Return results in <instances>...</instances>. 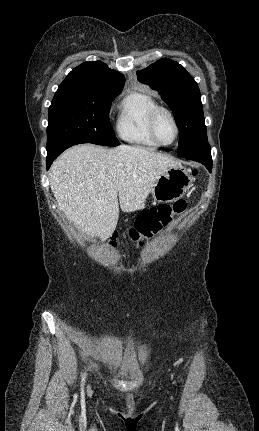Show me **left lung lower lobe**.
<instances>
[{
	"instance_id": "0a47b994",
	"label": "left lung lower lobe",
	"mask_w": 259,
	"mask_h": 431,
	"mask_svg": "<svg viewBox=\"0 0 259 431\" xmlns=\"http://www.w3.org/2000/svg\"><path fill=\"white\" fill-rule=\"evenodd\" d=\"M186 159L198 161L205 165V167L208 169L209 172L212 171V158H211V152L208 153H196L189 156L184 157Z\"/></svg>"
}]
</instances>
